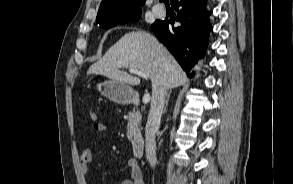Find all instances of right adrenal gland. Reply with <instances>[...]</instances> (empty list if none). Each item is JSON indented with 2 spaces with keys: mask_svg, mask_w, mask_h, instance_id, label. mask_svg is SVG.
Returning a JSON list of instances; mask_svg holds the SVG:
<instances>
[{
  "mask_svg": "<svg viewBox=\"0 0 293 184\" xmlns=\"http://www.w3.org/2000/svg\"><path fill=\"white\" fill-rule=\"evenodd\" d=\"M170 94H171V92H169V94L167 95V99H166V103H165V107H164L163 113L166 112V108H167V106H168V102H169Z\"/></svg>",
  "mask_w": 293,
  "mask_h": 184,
  "instance_id": "right-adrenal-gland-1",
  "label": "right adrenal gland"
}]
</instances>
